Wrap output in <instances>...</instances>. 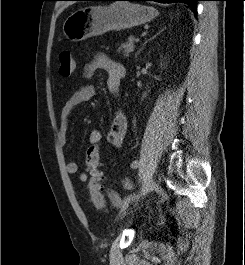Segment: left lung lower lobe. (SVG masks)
<instances>
[{"label": "left lung lower lobe", "instance_id": "obj_1", "mask_svg": "<svg viewBox=\"0 0 245 265\" xmlns=\"http://www.w3.org/2000/svg\"><path fill=\"white\" fill-rule=\"evenodd\" d=\"M90 1H117V0H90ZM123 1H157L161 3H174V2H181L186 3L189 5L194 12V14H197V1L200 0H123Z\"/></svg>", "mask_w": 245, "mask_h": 265}]
</instances>
